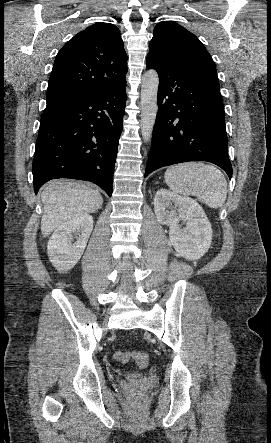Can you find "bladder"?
<instances>
[{"label":"bladder","mask_w":271,"mask_h":443,"mask_svg":"<svg viewBox=\"0 0 271 443\" xmlns=\"http://www.w3.org/2000/svg\"><path fill=\"white\" fill-rule=\"evenodd\" d=\"M141 376V374H139V373H133V374H130L129 375V377H140Z\"/></svg>","instance_id":"bladder-1"}]
</instances>
